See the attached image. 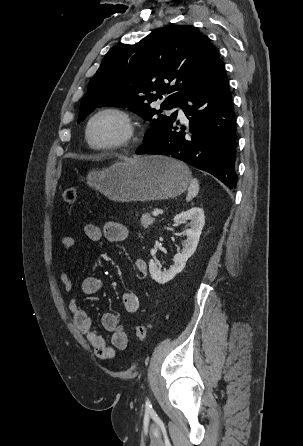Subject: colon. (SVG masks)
Masks as SVG:
<instances>
[{"label": "colon", "instance_id": "obj_1", "mask_svg": "<svg viewBox=\"0 0 303 446\" xmlns=\"http://www.w3.org/2000/svg\"><path fill=\"white\" fill-rule=\"evenodd\" d=\"M63 199L68 204H73L77 200V190L75 187H68L63 192ZM134 334L139 342H144L148 335V328L145 324L139 323L134 326Z\"/></svg>", "mask_w": 303, "mask_h": 446}]
</instances>
